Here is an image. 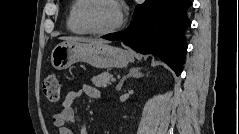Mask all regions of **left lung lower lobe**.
Returning a JSON list of instances; mask_svg holds the SVG:
<instances>
[{"instance_id":"left-lung-lower-lobe-1","label":"left lung lower lobe","mask_w":239,"mask_h":134,"mask_svg":"<svg viewBox=\"0 0 239 134\" xmlns=\"http://www.w3.org/2000/svg\"><path fill=\"white\" fill-rule=\"evenodd\" d=\"M191 5L189 0H146L136 6L126 30L102 38L122 40L139 53L159 56L178 76L187 50L184 32L191 25L186 14Z\"/></svg>"}]
</instances>
